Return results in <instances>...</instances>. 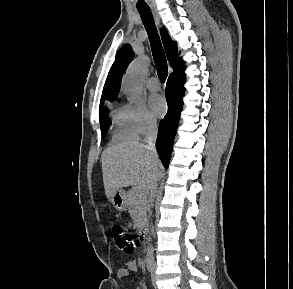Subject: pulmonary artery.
Wrapping results in <instances>:
<instances>
[{
  "label": "pulmonary artery",
  "instance_id": "1",
  "mask_svg": "<svg viewBox=\"0 0 293 289\" xmlns=\"http://www.w3.org/2000/svg\"><path fill=\"white\" fill-rule=\"evenodd\" d=\"M147 87L151 91H158L160 89V82L157 78L152 77L147 81Z\"/></svg>",
  "mask_w": 293,
  "mask_h": 289
}]
</instances>
